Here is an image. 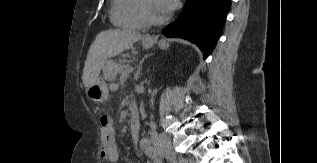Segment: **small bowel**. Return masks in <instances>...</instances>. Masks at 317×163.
Returning <instances> with one entry per match:
<instances>
[{"mask_svg": "<svg viewBox=\"0 0 317 163\" xmlns=\"http://www.w3.org/2000/svg\"><path fill=\"white\" fill-rule=\"evenodd\" d=\"M132 112H137L132 109ZM101 150L100 159L104 163H117L119 159L118 146L115 139V129L112 120L109 117H101ZM141 151H143L151 160L148 163H162L159 154L152 147L148 139L136 142ZM133 163H139L135 160Z\"/></svg>", "mask_w": 317, "mask_h": 163, "instance_id": "small-bowel-1", "label": "small bowel"}]
</instances>
